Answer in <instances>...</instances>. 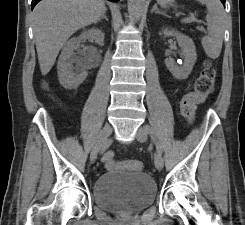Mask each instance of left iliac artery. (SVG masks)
I'll return each mask as SVG.
<instances>
[{"mask_svg":"<svg viewBox=\"0 0 245 225\" xmlns=\"http://www.w3.org/2000/svg\"><path fill=\"white\" fill-rule=\"evenodd\" d=\"M144 128H145V130H146V132H147L148 134H150L151 136L154 135V130L152 129V127H150L149 125H146ZM156 149H157L158 153L161 154V152H162V147H161V145H160L158 142L156 143Z\"/></svg>","mask_w":245,"mask_h":225,"instance_id":"1","label":"left iliac artery"}]
</instances>
